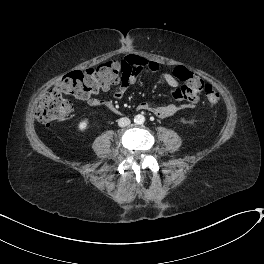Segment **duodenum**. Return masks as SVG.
Instances as JSON below:
<instances>
[{
	"label": "duodenum",
	"mask_w": 264,
	"mask_h": 264,
	"mask_svg": "<svg viewBox=\"0 0 264 264\" xmlns=\"http://www.w3.org/2000/svg\"><path fill=\"white\" fill-rule=\"evenodd\" d=\"M108 110H110L111 112L115 113V114H121V110H119L118 108H116L114 105H107Z\"/></svg>",
	"instance_id": "410a0bca"
}]
</instances>
